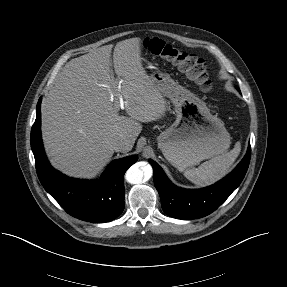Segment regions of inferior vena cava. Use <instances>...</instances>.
<instances>
[{
  "label": "inferior vena cava",
  "instance_id": "inferior-vena-cava-1",
  "mask_svg": "<svg viewBox=\"0 0 287 287\" xmlns=\"http://www.w3.org/2000/svg\"><path fill=\"white\" fill-rule=\"evenodd\" d=\"M110 145L113 148V150L122 151L127 145V142L125 138L116 137L111 141Z\"/></svg>",
  "mask_w": 287,
  "mask_h": 287
}]
</instances>
